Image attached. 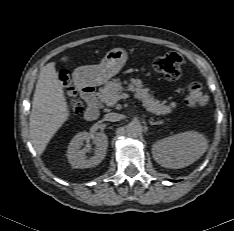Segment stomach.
<instances>
[{
	"label": "stomach",
	"instance_id": "stomach-1",
	"mask_svg": "<svg viewBox=\"0 0 234 231\" xmlns=\"http://www.w3.org/2000/svg\"><path fill=\"white\" fill-rule=\"evenodd\" d=\"M126 61L127 52L122 48H114L106 53L100 64L78 67L73 77L79 85H102L119 73Z\"/></svg>",
	"mask_w": 234,
	"mask_h": 231
}]
</instances>
